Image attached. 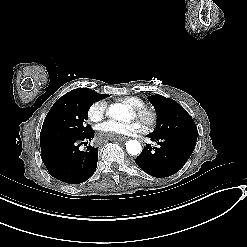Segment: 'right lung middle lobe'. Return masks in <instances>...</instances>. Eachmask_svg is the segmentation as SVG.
<instances>
[{
  "label": "right lung middle lobe",
  "instance_id": "1",
  "mask_svg": "<svg viewBox=\"0 0 247 247\" xmlns=\"http://www.w3.org/2000/svg\"><path fill=\"white\" fill-rule=\"evenodd\" d=\"M108 97L87 88L74 89L59 98L42 125L40 145L62 139H76L92 130L85 121L90 106Z\"/></svg>",
  "mask_w": 247,
  "mask_h": 247
}]
</instances>
